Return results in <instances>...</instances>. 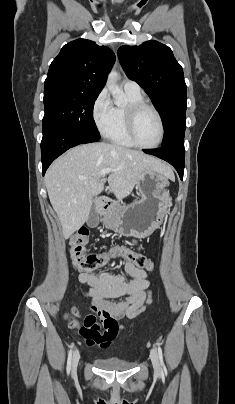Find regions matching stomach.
I'll list each match as a JSON object with an SVG mask.
<instances>
[{
    "label": "stomach",
    "instance_id": "obj_1",
    "mask_svg": "<svg viewBox=\"0 0 235 404\" xmlns=\"http://www.w3.org/2000/svg\"><path fill=\"white\" fill-rule=\"evenodd\" d=\"M169 178L156 170L143 172L137 183L139 199L118 208L107 223V227L124 236L145 238L163 223L168 202Z\"/></svg>",
    "mask_w": 235,
    "mask_h": 404
}]
</instances>
